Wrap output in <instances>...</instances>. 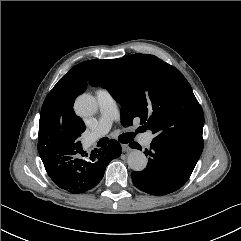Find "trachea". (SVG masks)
<instances>
[{
    "label": "trachea",
    "mask_w": 241,
    "mask_h": 241,
    "mask_svg": "<svg viewBox=\"0 0 241 241\" xmlns=\"http://www.w3.org/2000/svg\"><path fill=\"white\" fill-rule=\"evenodd\" d=\"M133 138H134L133 134H131V133H124V134L119 136V141L121 143H129L130 141L133 140ZM108 142H109L108 138H102L99 141V146H104V145L108 144Z\"/></svg>",
    "instance_id": "obj_1"
}]
</instances>
